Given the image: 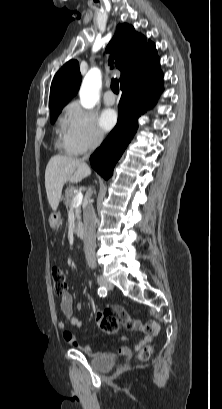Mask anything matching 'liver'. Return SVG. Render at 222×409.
I'll use <instances>...</instances> for the list:
<instances>
[{"label": "liver", "instance_id": "1", "mask_svg": "<svg viewBox=\"0 0 222 409\" xmlns=\"http://www.w3.org/2000/svg\"><path fill=\"white\" fill-rule=\"evenodd\" d=\"M90 173V168L78 158L64 155L51 157L45 170V188L52 210H57L66 182L77 184Z\"/></svg>", "mask_w": 222, "mask_h": 409}]
</instances>
